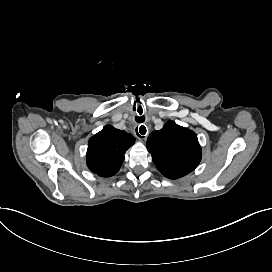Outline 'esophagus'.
<instances>
[{"label": "esophagus", "mask_w": 272, "mask_h": 272, "mask_svg": "<svg viewBox=\"0 0 272 272\" xmlns=\"http://www.w3.org/2000/svg\"><path fill=\"white\" fill-rule=\"evenodd\" d=\"M137 130V129H136ZM136 133H137V131H136ZM137 137L139 138V139H143L144 137H143V135H141L140 133H139V135L137 134Z\"/></svg>", "instance_id": "esophagus-1"}]
</instances>
